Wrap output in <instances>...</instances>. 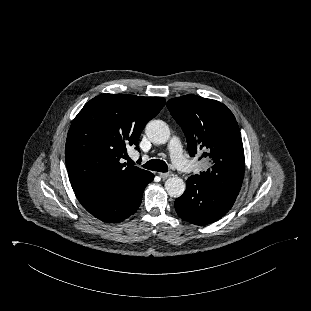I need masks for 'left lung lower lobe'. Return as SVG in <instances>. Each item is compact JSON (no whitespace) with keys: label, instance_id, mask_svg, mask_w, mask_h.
Here are the masks:
<instances>
[{"label":"left lung lower lobe","instance_id":"obj_1","mask_svg":"<svg viewBox=\"0 0 311 311\" xmlns=\"http://www.w3.org/2000/svg\"><path fill=\"white\" fill-rule=\"evenodd\" d=\"M236 197L214 187L198 175L186 181L185 193L175 200L180 218L196 225H207L225 215Z\"/></svg>","mask_w":311,"mask_h":311}]
</instances>
